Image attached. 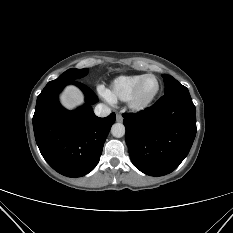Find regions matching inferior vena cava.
Masks as SVG:
<instances>
[{"label":"inferior vena cava","mask_w":233,"mask_h":233,"mask_svg":"<svg viewBox=\"0 0 233 233\" xmlns=\"http://www.w3.org/2000/svg\"><path fill=\"white\" fill-rule=\"evenodd\" d=\"M94 113L99 117H106L111 113V109L105 104H98L94 109Z\"/></svg>","instance_id":"1"}]
</instances>
